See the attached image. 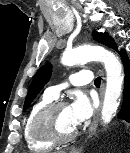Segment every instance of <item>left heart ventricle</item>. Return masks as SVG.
<instances>
[{
	"label": "left heart ventricle",
	"instance_id": "b2bd125f",
	"mask_svg": "<svg viewBox=\"0 0 130 153\" xmlns=\"http://www.w3.org/2000/svg\"><path fill=\"white\" fill-rule=\"evenodd\" d=\"M55 122L61 133H69L76 127L72 122L69 106L59 109L55 117Z\"/></svg>",
	"mask_w": 130,
	"mask_h": 153
}]
</instances>
